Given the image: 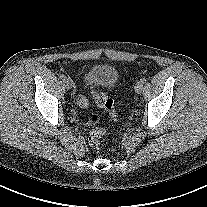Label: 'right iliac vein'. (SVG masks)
I'll list each match as a JSON object with an SVG mask.
<instances>
[{"mask_svg": "<svg viewBox=\"0 0 207 207\" xmlns=\"http://www.w3.org/2000/svg\"><path fill=\"white\" fill-rule=\"evenodd\" d=\"M64 85H65V87H66L67 89H71L72 86H73V82H72L71 79L66 78V79L64 80Z\"/></svg>", "mask_w": 207, "mask_h": 207, "instance_id": "right-iliac-vein-1", "label": "right iliac vein"}]
</instances>
